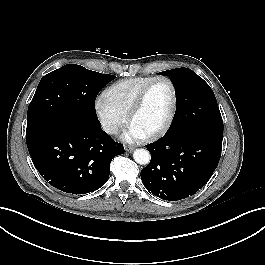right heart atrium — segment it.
Instances as JSON below:
<instances>
[{"label":"right heart atrium","mask_w":265,"mask_h":265,"mask_svg":"<svg viewBox=\"0 0 265 265\" xmlns=\"http://www.w3.org/2000/svg\"><path fill=\"white\" fill-rule=\"evenodd\" d=\"M94 110L101 128L109 135H116L127 123V116L113 108L103 97L95 101Z\"/></svg>","instance_id":"obj_1"}]
</instances>
